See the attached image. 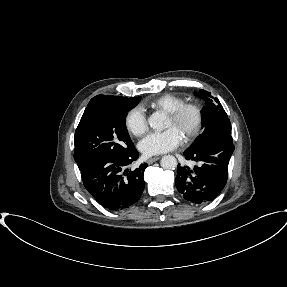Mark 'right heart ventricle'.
I'll use <instances>...</instances> for the list:
<instances>
[{"instance_id": "1", "label": "right heart ventricle", "mask_w": 287, "mask_h": 287, "mask_svg": "<svg viewBox=\"0 0 287 287\" xmlns=\"http://www.w3.org/2000/svg\"><path fill=\"white\" fill-rule=\"evenodd\" d=\"M185 103V99L179 95L172 93H165L155 98L146 101L143 105V109H150L154 111H163L168 113L180 105Z\"/></svg>"}]
</instances>
